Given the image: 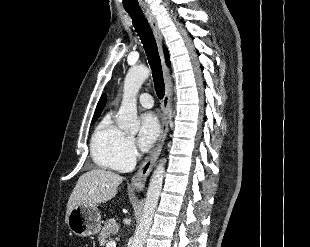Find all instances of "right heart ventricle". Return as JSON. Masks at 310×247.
I'll use <instances>...</instances> for the list:
<instances>
[{"label":"right heart ventricle","instance_id":"1","mask_svg":"<svg viewBox=\"0 0 310 247\" xmlns=\"http://www.w3.org/2000/svg\"><path fill=\"white\" fill-rule=\"evenodd\" d=\"M124 138L111 112L105 114L96 126L90 142L91 157L103 169H118L116 161Z\"/></svg>","mask_w":310,"mask_h":247}]
</instances>
